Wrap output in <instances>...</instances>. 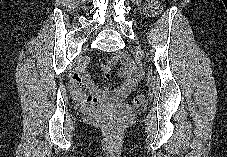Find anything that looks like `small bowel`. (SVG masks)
I'll use <instances>...</instances> for the list:
<instances>
[{
  "instance_id": "small-bowel-1",
  "label": "small bowel",
  "mask_w": 227,
  "mask_h": 157,
  "mask_svg": "<svg viewBox=\"0 0 227 157\" xmlns=\"http://www.w3.org/2000/svg\"><path fill=\"white\" fill-rule=\"evenodd\" d=\"M114 64L110 60L103 64L106 76L109 77L110 67ZM124 82L113 91L99 89L95 82L85 72L74 75L70 84V91L78 104L85 108H95L107 100H119L125 98L136 86L140 72L136 67L126 64L121 73Z\"/></svg>"
}]
</instances>
